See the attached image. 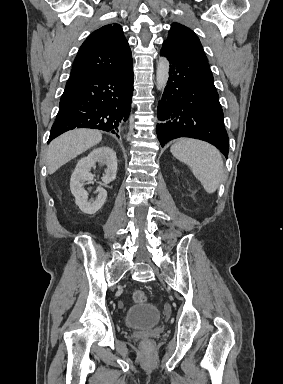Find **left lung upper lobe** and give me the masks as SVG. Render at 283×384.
<instances>
[{
	"label": "left lung upper lobe",
	"mask_w": 283,
	"mask_h": 384,
	"mask_svg": "<svg viewBox=\"0 0 283 384\" xmlns=\"http://www.w3.org/2000/svg\"><path fill=\"white\" fill-rule=\"evenodd\" d=\"M164 43L178 51L208 61L199 38L191 29L184 25L173 23L168 39Z\"/></svg>",
	"instance_id": "left-lung-upper-lobe-1"
}]
</instances>
